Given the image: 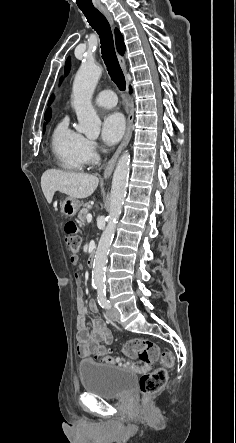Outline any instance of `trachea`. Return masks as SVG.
Returning <instances> with one entry per match:
<instances>
[{"label": "trachea", "instance_id": "trachea-1", "mask_svg": "<svg viewBox=\"0 0 236 443\" xmlns=\"http://www.w3.org/2000/svg\"><path fill=\"white\" fill-rule=\"evenodd\" d=\"M81 10L87 18L89 24L99 35L102 58L105 62L111 80L121 91H124L126 88L125 77L116 56L113 35L107 19L95 8Z\"/></svg>", "mask_w": 236, "mask_h": 443}]
</instances>
